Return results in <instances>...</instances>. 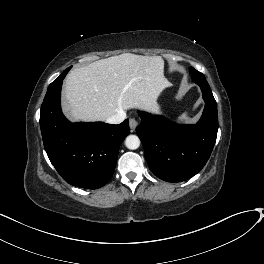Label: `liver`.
<instances>
[{"label": "liver", "mask_w": 264, "mask_h": 264, "mask_svg": "<svg viewBox=\"0 0 264 264\" xmlns=\"http://www.w3.org/2000/svg\"><path fill=\"white\" fill-rule=\"evenodd\" d=\"M169 85L160 57L123 53L73 69L64 82V110L86 122L133 108L154 112Z\"/></svg>", "instance_id": "obj_1"}]
</instances>
